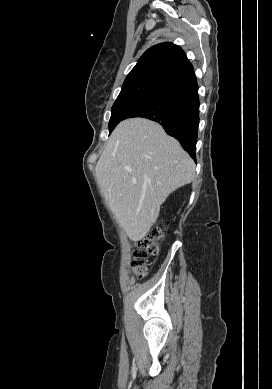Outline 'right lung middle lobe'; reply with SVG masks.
Listing matches in <instances>:
<instances>
[{"mask_svg":"<svg viewBox=\"0 0 272 389\" xmlns=\"http://www.w3.org/2000/svg\"><path fill=\"white\" fill-rule=\"evenodd\" d=\"M164 85L154 82H135L123 84L121 92L111 109L109 134L125 115L144 99L161 89Z\"/></svg>","mask_w":272,"mask_h":389,"instance_id":"1","label":"right lung middle lobe"}]
</instances>
